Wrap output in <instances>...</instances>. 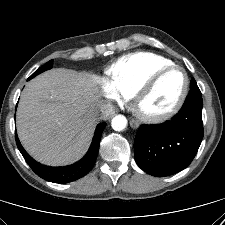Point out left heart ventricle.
Returning <instances> with one entry per match:
<instances>
[{
	"label": "left heart ventricle",
	"mask_w": 225,
	"mask_h": 225,
	"mask_svg": "<svg viewBox=\"0 0 225 225\" xmlns=\"http://www.w3.org/2000/svg\"><path fill=\"white\" fill-rule=\"evenodd\" d=\"M182 83L183 76L179 71L166 74L143 99L141 109L147 113H160L165 111L176 100Z\"/></svg>",
	"instance_id": "left-heart-ventricle-1"
}]
</instances>
